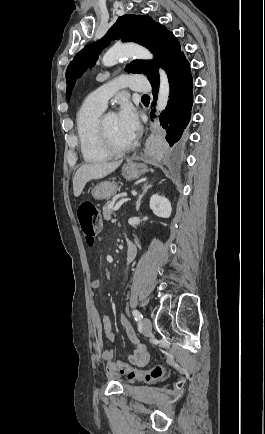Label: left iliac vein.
<instances>
[{"instance_id":"obj_1","label":"left iliac vein","mask_w":265,"mask_h":434,"mask_svg":"<svg viewBox=\"0 0 265 434\" xmlns=\"http://www.w3.org/2000/svg\"><path fill=\"white\" fill-rule=\"evenodd\" d=\"M152 330V324L149 318L145 317L143 319V333L146 337H148L151 334Z\"/></svg>"}]
</instances>
